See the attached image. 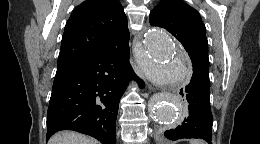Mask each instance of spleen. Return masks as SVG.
<instances>
[{
    "label": "spleen",
    "mask_w": 260,
    "mask_h": 144,
    "mask_svg": "<svg viewBox=\"0 0 260 144\" xmlns=\"http://www.w3.org/2000/svg\"><path fill=\"white\" fill-rule=\"evenodd\" d=\"M190 144H205V143L201 140H191Z\"/></svg>",
    "instance_id": "spleen-1"
}]
</instances>
